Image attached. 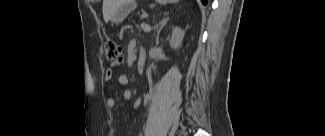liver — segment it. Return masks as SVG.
<instances>
[{
  "mask_svg": "<svg viewBox=\"0 0 325 136\" xmlns=\"http://www.w3.org/2000/svg\"><path fill=\"white\" fill-rule=\"evenodd\" d=\"M124 3V0H103V18L105 23L111 20V16Z\"/></svg>",
  "mask_w": 325,
  "mask_h": 136,
  "instance_id": "liver-1",
  "label": "liver"
}]
</instances>
